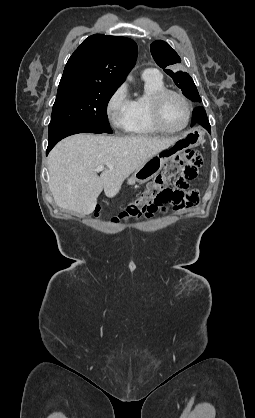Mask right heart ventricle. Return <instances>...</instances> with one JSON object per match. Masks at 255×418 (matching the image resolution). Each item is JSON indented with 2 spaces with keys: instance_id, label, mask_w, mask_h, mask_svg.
I'll return each instance as SVG.
<instances>
[{
  "instance_id": "right-heart-ventricle-1",
  "label": "right heart ventricle",
  "mask_w": 255,
  "mask_h": 418,
  "mask_svg": "<svg viewBox=\"0 0 255 418\" xmlns=\"http://www.w3.org/2000/svg\"><path fill=\"white\" fill-rule=\"evenodd\" d=\"M165 88L163 80L144 79V94L132 100V114L128 132L132 135H154L160 131L154 126L150 115V99Z\"/></svg>"
}]
</instances>
